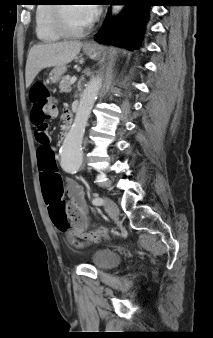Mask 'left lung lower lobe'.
<instances>
[{
  "label": "left lung lower lobe",
  "mask_w": 213,
  "mask_h": 338,
  "mask_svg": "<svg viewBox=\"0 0 213 338\" xmlns=\"http://www.w3.org/2000/svg\"><path fill=\"white\" fill-rule=\"evenodd\" d=\"M125 5L121 13L111 19L108 13L95 39L104 44L126 47L130 50L140 46L149 18L152 0H114Z\"/></svg>",
  "instance_id": "obj_1"
}]
</instances>
